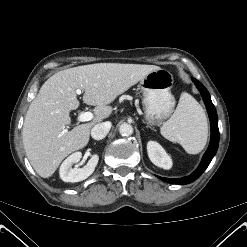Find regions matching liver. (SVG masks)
<instances>
[{"instance_id": "liver-1", "label": "liver", "mask_w": 247, "mask_h": 247, "mask_svg": "<svg viewBox=\"0 0 247 247\" xmlns=\"http://www.w3.org/2000/svg\"><path fill=\"white\" fill-rule=\"evenodd\" d=\"M158 69L155 65L96 63L51 76L31 102L23 125V145L34 170L43 178L52 176L66 156L87 145L92 126L111 115L110 103ZM77 89L84 90V103L96 106L95 117L68 131L70 111L79 107Z\"/></svg>"}]
</instances>
